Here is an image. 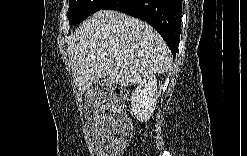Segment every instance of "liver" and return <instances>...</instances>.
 Wrapping results in <instances>:
<instances>
[{
    "mask_svg": "<svg viewBox=\"0 0 247 156\" xmlns=\"http://www.w3.org/2000/svg\"><path fill=\"white\" fill-rule=\"evenodd\" d=\"M68 56L82 93L105 75L113 84L135 85L168 71L172 61L168 46L150 25L114 10L86 19L68 38Z\"/></svg>",
    "mask_w": 247,
    "mask_h": 156,
    "instance_id": "6515ba94",
    "label": "liver"
}]
</instances>
